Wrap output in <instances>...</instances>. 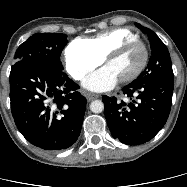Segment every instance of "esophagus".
<instances>
[{"instance_id":"esophagus-1","label":"esophagus","mask_w":187,"mask_h":187,"mask_svg":"<svg viewBox=\"0 0 187 187\" xmlns=\"http://www.w3.org/2000/svg\"><path fill=\"white\" fill-rule=\"evenodd\" d=\"M82 93L88 101H92V100L99 97L98 94L90 93V92H87V91H83Z\"/></svg>"}]
</instances>
